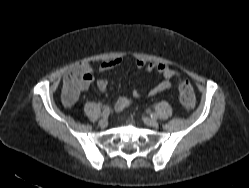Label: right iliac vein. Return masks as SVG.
<instances>
[{
  "label": "right iliac vein",
  "mask_w": 249,
  "mask_h": 188,
  "mask_svg": "<svg viewBox=\"0 0 249 188\" xmlns=\"http://www.w3.org/2000/svg\"><path fill=\"white\" fill-rule=\"evenodd\" d=\"M99 125L101 127H106L108 125V120L107 118H102L100 121H99Z\"/></svg>",
  "instance_id": "right-iliac-vein-1"
}]
</instances>
